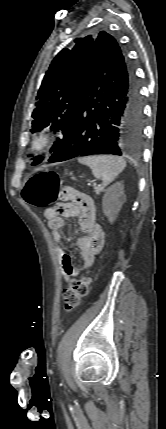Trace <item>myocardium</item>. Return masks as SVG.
Masks as SVG:
<instances>
[{
	"label": "myocardium",
	"instance_id": "obj_1",
	"mask_svg": "<svg viewBox=\"0 0 166 429\" xmlns=\"http://www.w3.org/2000/svg\"><path fill=\"white\" fill-rule=\"evenodd\" d=\"M54 140V133L49 129L35 132L30 140L29 149L36 154L46 151Z\"/></svg>",
	"mask_w": 166,
	"mask_h": 429
}]
</instances>
